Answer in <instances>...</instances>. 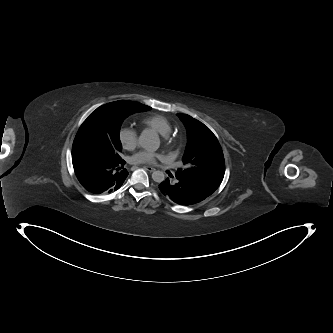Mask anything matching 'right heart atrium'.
<instances>
[{
	"label": "right heart atrium",
	"instance_id": "right-heart-atrium-1",
	"mask_svg": "<svg viewBox=\"0 0 333 333\" xmlns=\"http://www.w3.org/2000/svg\"><path fill=\"white\" fill-rule=\"evenodd\" d=\"M119 141L125 150L132 151L138 145V133L132 127H122L119 130Z\"/></svg>",
	"mask_w": 333,
	"mask_h": 333
}]
</instances>
